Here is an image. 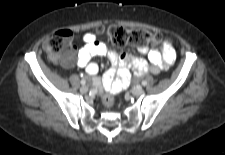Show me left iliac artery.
I'll return each instance as SVG.
<instances>
[{"mask_svg": "<svg viewBox=\"0 0 225 155\" xmlns=\"http://www.w3.org/2000/svg\"><path fill=\"white\" fill-rule=\"evenodd\" d=\"M142 85H143V86H146V85H147V82H146V81H143V82H142Z\"/></svg>", "mask_w": 225, "mask_h": 155, "instance_id": "1", "label": "left iliac artery"}]
</instances>
